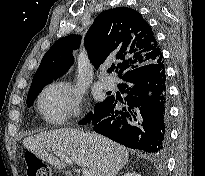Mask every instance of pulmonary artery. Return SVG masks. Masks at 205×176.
Returning <instances> with one entry per match:
<instances>
[{"label":"pulmonary artery","instance_id":"e3ab8cb5","mask_svg":"<svg viewBox=\"0 0 205 176\" xmlns=\"http://www.w3.org/2000/svg\"><path fill=\"white\" fill-rule=\"evenodd\" d=\"M101 85L105 89H113L115 86L114 80L110 77L102 78L101 79Z\"/></svg>","mask_w":205,"mask_h":176}]
</instances>
